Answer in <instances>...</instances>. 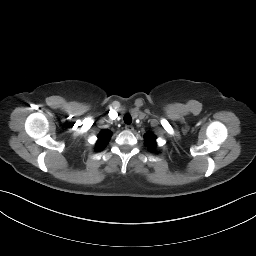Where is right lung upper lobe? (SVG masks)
<instances>
[{"instance_id":"right-lung-upper-lobe-1","label":"right lung upper lobe","mask_w":256,"mask_h":256,"mask_svg":"<svg viewBox=\"0 0 256 256\" xmlns=\"http://www.w3.org/2000/svg\"><path fill=\"white\" fill-rule=\"evenodd\" d=\"M110 137H111V132L109 130L102 131L98 136V141L96 143V150L100 151L104 149Z\"/></svg>"}]
</instances>
